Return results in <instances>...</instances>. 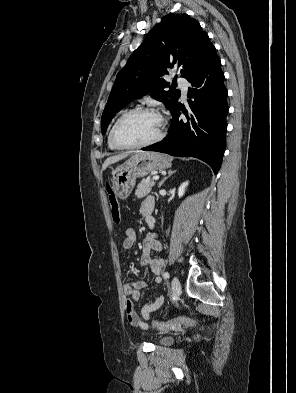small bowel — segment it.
Here are the masks:
<instances>
[{
  "mask_svg": "<svg viewBox=\"0 0 296 393\" xmlns=\"http://www.w3.org/2000/svg\"><path fill=\"white\" fill-rule=\"evenodd\" d=\"M154 206L155 201L152 197H147L138 206V214L146 221L149 226L154 225ZM135 242V230L127 229L124 233V238L122 241L123 249L130 250L134 246ZM161 249L162 244L154 235H148L143 239L140 264L142 266H147L150 272L156 276L155 283L157 285L162 283L160 273L162 270L163 260L159 257H154L152 253L155 251H160ZM145 286L146 283L144 281H138L134 283L127 282L123 285V292L127 297L124 304L127 320L132 326L142 329H147L149 327L147 321L152 319V313L160 309L165 301L164 295L161 294L154 302L144 305L141 309V318L136 311L134 301H138L140 299V290Z\"/></svg>",
  "mask_w": 296,
  "mask_h": 393,
  "instance_id": "small-bowel-1",
  "label": "small bowel"
}]
</instances>
